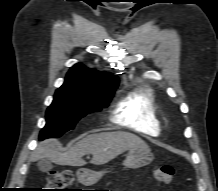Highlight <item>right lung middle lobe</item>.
<instances>
[{
	"instance_id": "dd1d6c3e",
	"label": "right lung middle lobe",
	"mask_w": 218,
	"mask_h": 191,
	"mask_svg": "<svg viewBox=\"0 0 218 191\" xmlns=\"http://www.w3.org/2000/svg\"><path fill=\"white\" fill-rule=\"evenodd\" d=\"M112 96L86 97L57 90L52 104L46 111V125L39 139L59 137L73 129L76 123L88 113L106 108Z\"/></svg>"
}]
</instances>
